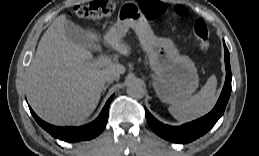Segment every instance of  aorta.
<instances>
[{"mask_svg": "<svg viewBox=\"0 0 259 156\" xmlns=\"http://www.w3.org/2000/svg\"><path fill=\"white\" fill-rule=\"evenodd\" d=\"M127 94L133 98H143L145 90L139 81H132L127 86Z\"/></svg>", "mask_w": 259, "mask_h": 156, "instance_id": "1", "label": "aorta"}]
</instances>
